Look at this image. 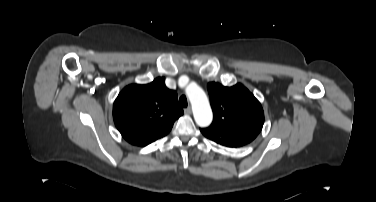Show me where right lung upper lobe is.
<instances>
[{
    "label": "right lung upper lobe",
    "instance_id": "1",
    "mask_svg": "<svg viewBox=\"0 0 376 202\" xmlns=\"http://www.w3.org/2000/svg\"><path fill=\"white\" fill-rule=\"evenodd\" d=\"M158 77L145 85L125 87L113 104L115 125L124 139L144 147L167 135L174 121L183 114L177 93Z\"/></svg>",
    "mask_w": 376,
    "mask_h": 202
}]
</instances>
